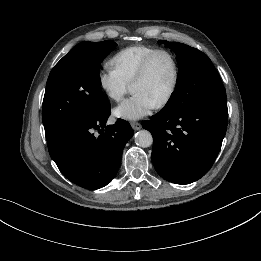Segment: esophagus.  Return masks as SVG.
Returning <instances> with one entry per match:
<instances>
[{
	"mask_svg": "<svg viewBox=\"0 0 261 261\" xmlns=\"http://www.w3.org/2000/svg\"><path fill=\"white\" fill-rule=\"evenodd\" d=\"M131 126H132V128H133L135 131L140 130L141 127H142L139 122H132V123H131Z\"/></svg>",
	"mask_w": 261,
	"mask_h": 261,
	"instance_id": "34e87169",
	"label": "esophagus"
}]
</instances>
